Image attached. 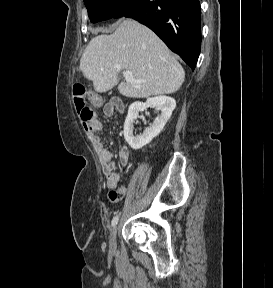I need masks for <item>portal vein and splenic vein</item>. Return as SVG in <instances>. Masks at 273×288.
I'll list each match as a JSON object with an SVG mask.
<instances>
[{
  "label": "portal vein and splenic vein",
  "mask_w": 273,
  "mask_h": 288,
  "mask_svg": "<svg viewBox=\"0 0 273 288\" xmlns=\"http://www.w3.org/2000/svg\"><path fill=\"white\" fill-rule=\"evenodd\" d=\"M123 76L125 77V79L128 81V82H134L136 84L140 83V81H135L133 79V74H132V71H129V70H126L123 72Z\"/></svg>",
  "instance_id": "obj_1"
}]
</instances>
